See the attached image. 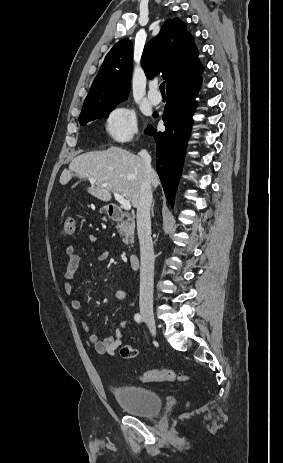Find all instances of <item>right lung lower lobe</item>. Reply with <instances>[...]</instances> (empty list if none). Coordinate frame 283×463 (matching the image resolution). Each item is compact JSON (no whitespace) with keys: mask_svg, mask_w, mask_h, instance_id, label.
<instances>
[{"mask_svg":"<svg viewBox=\"0 0 283 463\" xmlns=\"http://www.w3.org/2000/svg\"><path fill=\"white\" fill-rule=\"evenodd\" d=\"M201 78L175 85L167 89V102L163 115L164 132H157L152 126L146 134L155 137L157 149L156 169L165 196L171 206L181 175L185 149L192 125V115L196 106L195 97ZM156 117L157 114H154Z\"/></svg>","mask_w":283,"mask_h":463,"instance_id":"right-lung-lower-lobe-1","label":"right lung lower lobe"}]
</instances>
